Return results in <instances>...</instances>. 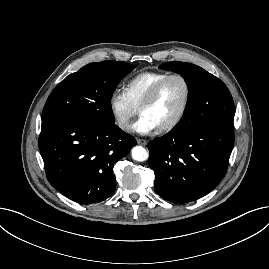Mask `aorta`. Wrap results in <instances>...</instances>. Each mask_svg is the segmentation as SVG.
Here are the masks:
<instances>
[{"label": "aorta", "instance_id": "obj_1", "mask_svg": "<svg viewBox=\"0 0 269 269\" xmlns=\"http://www.w3.org/2000/svg\"><path fill=\"white\" fill-rule=\"evenodd\" d=\"M132 158L138 162L146 161L149 158L148 151L142 146H135L131 150Z\"/></svg>", "mask_w": 269, "mask_h": 269}]
</instances>
